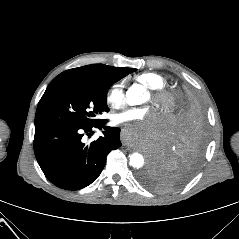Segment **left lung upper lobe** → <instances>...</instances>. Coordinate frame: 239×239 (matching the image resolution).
<instances>
[{"label":"left lung upper lobe","instance_id":"1","mask_svg":"<svg viewBox=\"0 0 239 239\" xmlns=\"http://www.w3.org/2000/svg\"><path fill=\"white\" fill-rule=\"evenodd\" d=\"M183 97H198V95L190 86L184 84L181 85L178 91V100ZM141 181L149 188L157 191H166L169 189V183H167L166 179L150 169L141 176Z\"/></svg>","mask_w":239,"mask_h":239}]
</instances>
